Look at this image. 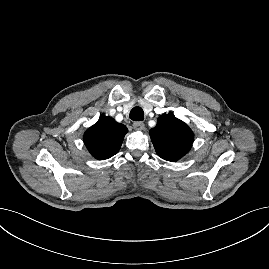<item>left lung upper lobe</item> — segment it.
Wrapping results in <instances>:
<instances>
[{
  "mask_svg": "<svg viewBox=\"0 0 269 269\" xmlns=\"http://www.w3.org/2000/svg\"><path fill=\"white\" fill-rule=\"evenodd\" d=\"M149 134L159 157L171 162L187 154L194 140L191 129L171 112L161 115Z\"/></svg>",
  "mask_w": 269,
  "mask_h": 269,
  "instance_id": "1",
  "label": "left lung upper lobe"
}]
</instances>
